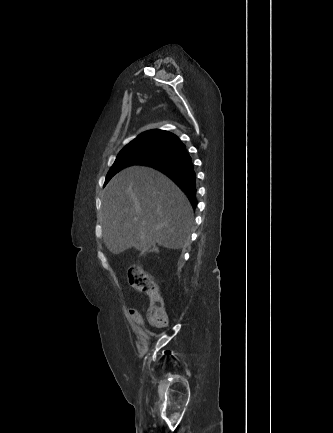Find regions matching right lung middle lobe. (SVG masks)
<instances>
[{
  "mask_svg": "<svg viewBox=\"0 0 333 433\" xmlns=\"http://www.w3.org/2000/svg\"><path fill=\"white\" fill-rule=\"evenodd\" d=\"M172 150L164 145L148 141L137 145L125 146L118 154L109 170L105 185L120 170L131 165H143L167 156Z\"/></svg>",
  "mask_w": 333,
  "mask_h": 433,
  "instance_id": "dd1d6c3e",
  "label": "right lung middle lobe"
}]
</instances>
